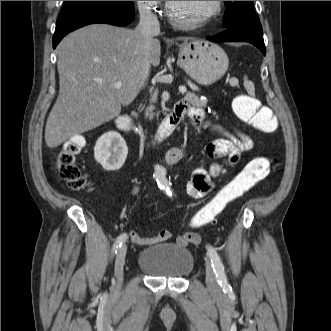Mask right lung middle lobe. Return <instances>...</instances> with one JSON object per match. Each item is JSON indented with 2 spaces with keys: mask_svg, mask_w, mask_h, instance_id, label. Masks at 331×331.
Returning <instances> with one entry per match:
<instances>
[{
  "mask_svg": "<svg viewBox=\"0 0 331 331\" xmlns=\"http://www.w3.org/2000/svg\"><path fill=\"white\" fill-rule=\"evenodd\" d=\"M128 1H65L62 13L59 19L69 17L78 12L91 9L98 6L121 4Z\"/></svg>",
  "mask_w": 331,
  "mask_h": 331,
  "instance_id": "1",
  "label": "right lung middle lobe"
}]
</instances>
